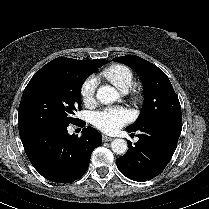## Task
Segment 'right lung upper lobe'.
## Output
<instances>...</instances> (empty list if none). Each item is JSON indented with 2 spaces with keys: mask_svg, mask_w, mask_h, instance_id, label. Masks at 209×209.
Returning <instances> with one entry per match:
<instances>
[{
  "mask_svg": "<svg viewBox=\"0 0 209 209\" xmlns=\"http://www.w3.org/2000/svg\"><path fill=\"white\" fill-rule=\"evenodd\" d=\"M95 71L103 66L104 64L109 63L108 60L105 59H97V60H85Z\"/></svg>",
  "mask_w": 209,
  "mask_h": 209,
  "instance_id": "obj_1",
  "label": "right lung upper lobe"
}]
</instances>
